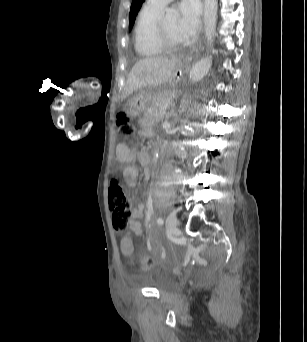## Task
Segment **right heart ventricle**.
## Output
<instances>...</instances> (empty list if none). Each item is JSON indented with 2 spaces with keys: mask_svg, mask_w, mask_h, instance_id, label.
Returning <instances> with one entry per match:
<instances>
[{
  "mask_svg": "<svg viewBox=\"0 0 307 342\" xmlns=\"http://www.w3.org/2000/svg\"><path fill=\"white\" fill-rule=\"evenodd\" d=\"M158 16V12L147 7L138 12L133 30V45L136 55L141 59H152L161 54L154 43V24Z\"/></svg>",
  "mask_w": 307,
  "mask_h": 342,
  "instance_id": "obj_1",
  "label": "right heart ventricle"
}]
</instances>
